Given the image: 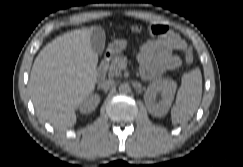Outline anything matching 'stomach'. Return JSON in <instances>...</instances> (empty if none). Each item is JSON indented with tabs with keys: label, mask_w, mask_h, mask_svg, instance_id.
<instances>
[{
	"label": "stomach",
	"mask_w": 243,
	"mask_h": 167,
	"mask_svg": "<svg viewBox=\"0 0 243 167\" xmlns=\"http://www.w3.org/2000/svg\"><path fill=\"white\" fill-rule=\"evenodd\" d=\"M127 47L126 40H114L108 45L107 51L111 56L122 53Z\"/></svg>",
	"instance_id": "0dacf381"
}]
</instances>
